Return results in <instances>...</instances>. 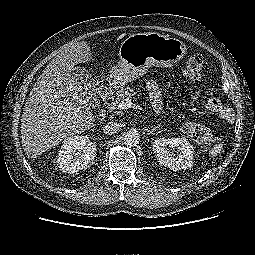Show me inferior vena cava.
<instances>
[{"label": "inferior vena cava", "mask_w": 255, "mask_h": 255, "mask_svg": "<svg viewBox=\"0 0 255 255\" xmlns=\"http://www.w3.org/2000/svg\"><path fill=\"white\" fill-rule=\"evenodd\" d=\"M120 129V124L116 122H109L103 127L105 134L112 135L115 134Z\"/></svg>", "instance_id": "obj_1"}]
</instances>
